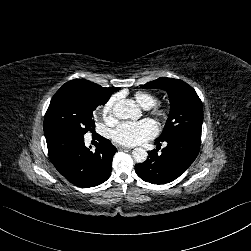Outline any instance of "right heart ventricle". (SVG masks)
Instances as JSON below:
<instances>
[{
    "label": "right heart ventricle",
    "mask_w": 251,
    "mask_h": 251,
    "mask_svg": "<svg viewBox=\"0 0 251 251\" xmlns=\"http://www.w3.org/2000/svg\"><path fill=\"white\" fill-rule=\"evenodd\" d=\"M134 101L144 109H150L156 105L158 99L157 97L146 91H137L133 95Z\"/></svg>",
    "instance_id": "1"
}]
</instances>
